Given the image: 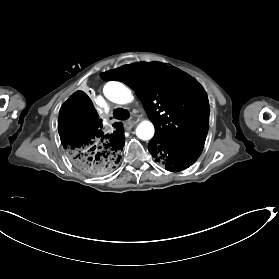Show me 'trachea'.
Here are the masks:
<instances>
[{"label": "trachea", "mask_w": 279, "mask_h": 279, "mask_svg": "<svg viewBox=\"0 0 279 279\" xmlns=\"http://www.w3.org/2000/svg\"><path fill=\"white\" fill-rule=\"evenodd\" d=\"M129 116V111L123 108L115 109L113 112V117L118 120H126Z\"/></svg>", "instance_id": "1"}]
</instances>
